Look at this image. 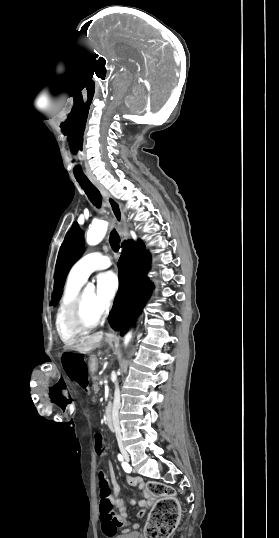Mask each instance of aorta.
Here are the masks:
<instances>
[{
	"label": "aorta",
	"instance_id": "1",
	"mask_svg": "<svg viewBox=\"0 0 279 538\" xmlns=\"http://www.w3.org/2000/svg\"><path fill=\"white\" fill-rule=\"evenodd\" d=\"M108 228V223L105 220H98L94 222L87 231L86 241L89 245H96L102 241ZM95 289L94 284L88 283L84 293L91 294ZM131 334H128L125 338V344L129 342Z\"/></svg>",
	"mask_w": 279,
	"mask_h": 538
}]
</instances>
